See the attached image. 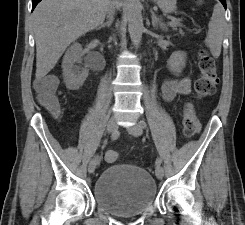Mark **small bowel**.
Wrapping results in <instances>:
<instances>
[{
    "label": "small bowel",
    "mask_w": 245,
    "mask_h": 225,
    "mask_svg": "<svg viewBox=\"0 0 245 225\" xmlns=\"http://www.w3.org/2000/svg\"><path fill=\"white\" fill-rule=\"evenodd\" d=\"M55 77L53 75H47L39 79L38 85H45L50 81H54ZM190 91V80L188 78H168L164 81L162 85V94L166 101H172L177 95H186ZM66 141L68 143H74V137H67ZM112 159L106 161L109 163H115L118 159V153L116 151H110Z\"/></svg>",
    "instance_id": "small-bowel-1"
}]
</instances>
